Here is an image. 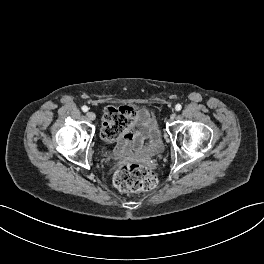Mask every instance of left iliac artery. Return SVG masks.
Returning <instances> with one entry per match:
<instances>
[{
    "instance_id": "44dca946",
    "label": "left iliac artery",
    "mask_w": 264,
    "mask_h": 264,
    "mask_svg": "<svg viewBox=\"0 0 264 264\" xmlns=\"http://www.w3.org/2000/svg\"><path fill=\"white\" fill-rule=\"evenodd\" d=\"M182 109V106L180 105V104H177L176 106H175V110L176 111H180Z\"/></svg>"
}]
</instances>
